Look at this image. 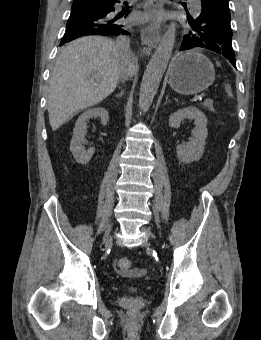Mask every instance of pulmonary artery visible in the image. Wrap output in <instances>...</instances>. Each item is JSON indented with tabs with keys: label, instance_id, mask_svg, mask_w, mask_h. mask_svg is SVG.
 <instances>
[{
	"label": "pulmonary artery",
	"instance_id": "e3ab8cb5",
	"mask_svg": "<svg viewBox=\"0 0 261 340\" xmlns=\"http://www.w3.org/2000/svg\"><path fill=\"white\" fill-rule=\"evenodd\" d=\"M189 2L191 3V6L195 9V14H198L200 10L199 0H189Z\"/></svg>",
	"mask_w": 261,
	"mask_h": 340
}]
</instances>
